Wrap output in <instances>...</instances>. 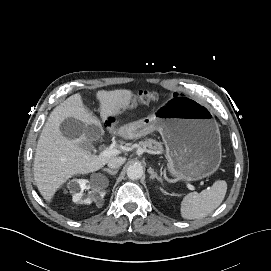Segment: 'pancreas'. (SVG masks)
<instances>
[{
	"instance_id": "pancreas-1",
	"label": "pancreas",
	"mask_w": 271,
	"mask_h": 271,
	"mask_svg": "<svg viewBox=\"0 0 271 271\" xmlns=\"http://www.w3.org/2000/svg\"><path fill=\"white\" fill-rule=\"evenodd\" d=\"M143 148H149L154 154H159L162 151V145L160 142H157L153 139H147L139 143Z\"/></svg>"
}]
</instances>
